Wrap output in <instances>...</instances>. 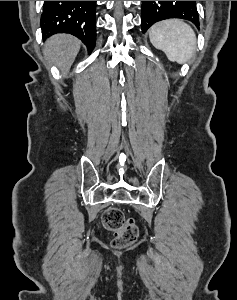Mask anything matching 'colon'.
Wrapping results in <instances>:
<instances>
[{
    "label": "colon",
    "instance_id": "5ec220e1",
    "mask_svg": "<svg viewBox=\"0 0 237 300\" xmlns=\"http://www.w3.org/2000/svg\"><path fill=\"white\" fill-rule=\"evenodd\" d=\"M104 227L113 232L112 245L121 249L134 244L138 238V228L133 219L125 218L123 212L117 207L106 209L102 216Z\"/></svg>",
    "mask_w": 237,
    "mask_h": 300
}]
</instances>
